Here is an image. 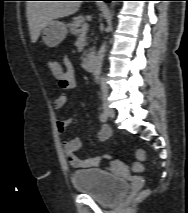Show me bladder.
<instances>
[{"label": "bladder", "instance_id": "1", "mask_svg": "<svg viewBox=\"0 0 188 213\" xmlns=\"http://www.w3.org/2000/svg\"><path fill=\"white\" fill-rule=\"evenodd\" d=\"M75 189L90 195L101 204L115 203L128 190V182L101 169H84L72 173Z\"/></svg>", "mask_w": 188, "mask_h": 213}]
</instances>
